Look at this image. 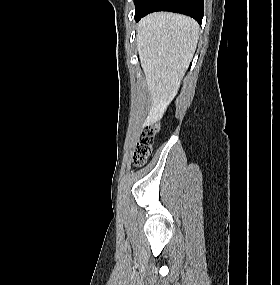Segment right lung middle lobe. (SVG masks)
<instances>
[{
	"label": "right lung middle lobe",
	"mask_w": 280,
	"mask_h": 285,
	"mask_svg": "<svg viewBox=\"0 0 280 285\" xmlns=\"http://www.w3.org/2000/svg\"><path fill=\"white\" fill-rule=\"evenodd\" d=\"M142 2V0H134L135 6L136 8L138 7V5Z\"/></svg>",
	"instance_id": "right-lung-middle-lobe-1"
}]
</instances>
